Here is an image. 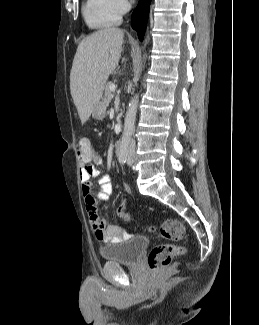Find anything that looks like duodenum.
I'll use <instances>...</instances> for the list:
<instances>
[{
	"instance_id": "410a0bca",
	"label": "duodenum",
	"mask_w": 259,
	"mask_h": 325,
	"mask_svg": "<svg viewBox=\"0 0 259 325\" xmlns=\"http://www.w3.org/2000/svg\"><path fill=\"white\" fill-rule=\"evenodd\" d=\"M124 144H125V142H124L123 139H119V140H117V141L115 142L114 150H115V152H116L117 155L121 152V150H122Z\"/></svg>"
}]
</instances>
